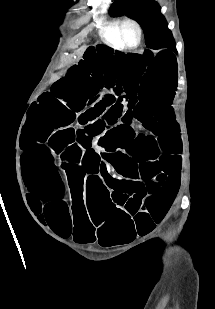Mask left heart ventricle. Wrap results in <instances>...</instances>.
<instances>
[{
  "label": "left heart ventricle",
  "instance_id": "b2bd125f",
  "mask_svg": "<svg viewBox=\"0 0 215 309\" xmlns=\"http://www.w3.org/2000/svg\"><path fill=\"white\" fill-rule=\"evenodd\" d=\"M135 40L134 33L131 30H127L124 33V41L128 44H132Z\"/></svg>",
  "mask_w": 215,
  "mask_h": 309
}]
</instances>
